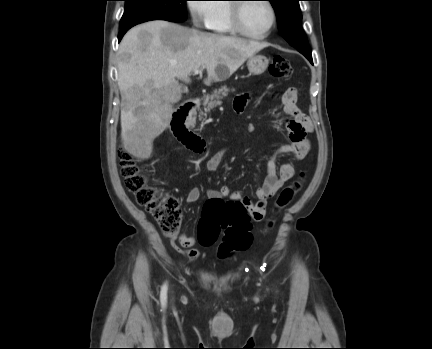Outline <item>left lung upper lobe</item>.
<instances>
[{"label":"left lung upper lobe","mask_w":432,"mask_h":349,"mask_svg":"<svg viewBox=\"0 0 432 349\" xmlns=\"http://www.w3.org/2000/svg\"><path fill=\"white\" fill-rule=\"evenodd\" d=\"M278 18V29L282 37L293 47L310 50L305 33L301 28L302 14L300 0H268Z\"/></svg>","instance_id":"left-lung-upper-lobe-1"}]
</instances>
